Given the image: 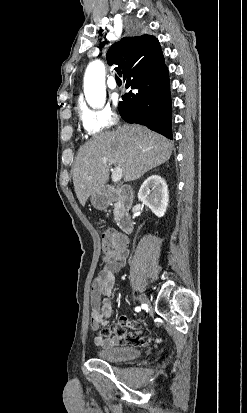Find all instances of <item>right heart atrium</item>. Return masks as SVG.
Masks as SVG:
<instances>
[{
    "label": "right heart atrium",
    "instance_id": "1",
    "mask_svg": "<svg viewBox=\"0 0 247 413\" xmlns=\"http://www.w3.org/2000/svg\"><path fill=\"white\" fill-rule=\"evenodd\" d=\"M80 109V116L83 120V127L87 133H104L106 129L113 124L109 119V114H112L114 108L112 105H91L87 100H78L76 103Z\"/></svg>",
    "mask_w": 247,
    "mask_h": 413
}]
</instances>
